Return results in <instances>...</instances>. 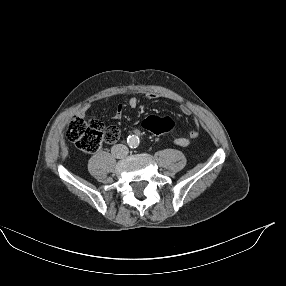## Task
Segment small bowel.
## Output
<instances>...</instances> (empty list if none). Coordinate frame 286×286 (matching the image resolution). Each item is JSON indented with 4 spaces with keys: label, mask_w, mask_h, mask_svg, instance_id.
<instances>
[{
    "label": "small bowel",
    "mask_w": 286,
    "mask_h": 286,
    "mask_svg": "<svg viewBox=\"0 0 286 286\" xmlns=\"http://www.w3.org/2000/svg\"><path fill=\"white\" fill-rule=\"evenodd\" d=\"M146 97L148 99H150V100H154V99L158 98V95L156 93H154V92H148L146 94ZM138 104H139V100H138L137 97L131 96L128 99V106L130 108H136L138 106ZM123 110H124V105L123 104H118L117 107H116L114 118L115 119H120L122 114H123ZM182 112L184 114H187V115H189L191 113L190 109L188 107H186V106H184L182 108ZM83 115H84V112H80V116H83ZM198 135H199V131L197 129H194V130L190 131L186 135H182V134H179L177 132H174L173 133V142L177 146L188 147L191 144L192 140L196 139L198 137Z\"/></svg>",
    "instance_id": "c3829d8e"
}]
</instances>
